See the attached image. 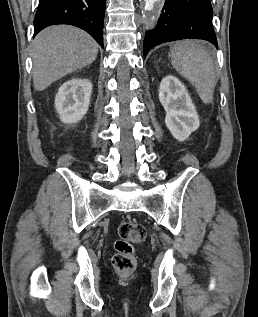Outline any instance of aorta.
I'll list each match as a JSON object with an SVG mask.
<instances>
[{
  "label": "aorta",
  "mask_w": 258,
  "mask_h": 317,
  "mask_svg": "<svg viewBox=\"0 0 258 317\" xmlns=\"http://www.w3.org/2000/svg\"><path fill=\"white\" fill-rule=\"evenodd\" d=\"M145 1V9L146 10H153L156 3L160 0H144Z\"/></svg>",
  "instance_id": "obj_1"
}]
</instances>
